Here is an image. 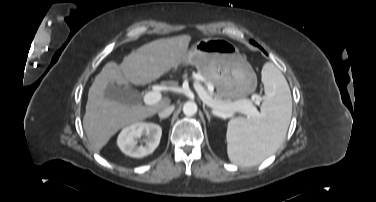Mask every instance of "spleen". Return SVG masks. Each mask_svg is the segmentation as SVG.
<instances>
[{
  "mask_svg": "<svg viewBox=\"0 0 376 202\" xmlns=\"http://www.w3.org/2000/svg\"><path fill=\"white\" fill-rule=\"evenodd\" d=\"M261 77L266 99L260 116L251 120L237 117L228 123L227 152L236 165H256L273 154L283 142L291 120L292 98L284 75L267 62Z\"/></svg>",
  "mask_w": 376,
  "mask_h": 202,
  "instance_id": "spleen-1",
  "label": "spleen"
}]
</instances>
